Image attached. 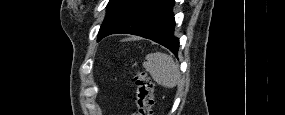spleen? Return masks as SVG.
I'll return each instance as SVG.
<instances>
[{
	"instance_id": "3e777b00",
	"label": "spleen",
	"mask_w": 285,
	"mask_h": 115,
	"mask_svg": "<svg viewBox=\"0 0 285 115\" xmlns=\"http://www.w3.org/2000/svg\"><path fill=\"white\" fill-rule=\"evenodd\" d=\"M143 67L153 80L163 87L174 88L180 81L179 67L168 54L162 52L148 54Z\"/></svg>"
}]
</instances>
